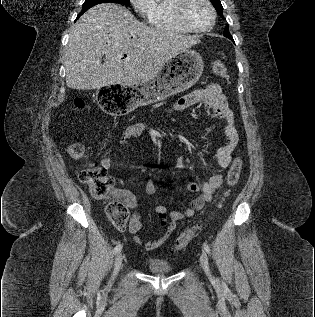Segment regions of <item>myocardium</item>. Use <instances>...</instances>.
Segmentation results:
<instances>
[{"label": "myocardium", "mask_w": 315, "mask_h": 317, "mask_svg": "<svg viewBox=\"0 0 315 317\" xmlns=\"http://www.w3.org/2000/svg\"><path fill=\"white\" fill-rule=\"evenodd\" d=\"M190 1L191 0H176L174 10H175V17H176L177 21L179 22V24L183 28H185L189 32H193V33L209 32L213 28L215 21H216V11H215L213 4L211 3L210 0H203V2L209 8V11L211 14V21L207 27L198 29V28H194L193 26H191L186 19V8H187L188 4L190 3Z\"/></svg>", "instance_id": "obj_1"}]
</instances>
